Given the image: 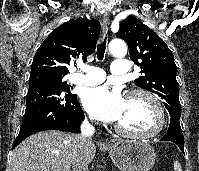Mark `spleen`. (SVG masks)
I'll use <instances>...</instances> for the list:
<instances>
[{
    "instance_id": "1",
    "label": "spleen",
    "mask_w": 199,
    "mask_h": 171,
    "mask_svg": "<svg viewBox=\"0 0 199 171\" xmlns=\"http://www.w3.org/2000/svg\"><path fill=\"white\" fill-rule=\"evenodd\" d=\"M174 170L175 171H182L181 164L177 160L174 161Z\"/></svg>"
}]
</instances>
